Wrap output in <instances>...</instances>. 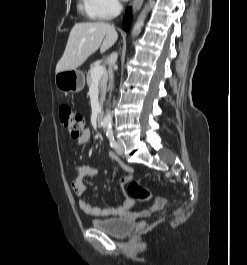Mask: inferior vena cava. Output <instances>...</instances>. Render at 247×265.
I'll use <instances>...</instances> for the list:
<instances>
[{
    "instance_id": "inferior-vena-cava-1",
    "label": "inferior vena cava",
    "mask_w": 247,
    "mask_h": 265,
    "mask_svg": "<svg viewBox=\"0 0 247 265\" xmlns=\"http://www.w3.org/2000/svg\"><path fill=\"white\" fill-rule=\"evenodd\" d=\"M115 56H116V54H115ZM109 79L112 82V80H113L112 66L109 67Z\"/></svg>"
}]
</instances>
